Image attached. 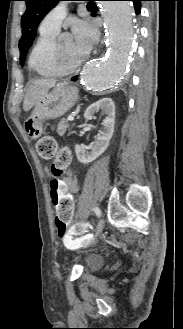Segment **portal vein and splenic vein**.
Returning <instances> with one entry per match:
<instances>
[{
    "label": "portal vein and splenic vein",
    "instance_id": "portal-vein-and-splenic-vein-1",
    "mask_svg": "<svg viewBox=\"0 0 183 329\" xmlns=\"http://www.w3.org/2000/svg\"><path fill=\"white\" fill-rule=\"evenodd\" d=\"M69 121H73L74 120V117L72 115H69L68 118H67Z\"/></svg>",
    "mask_w": 183,
    "mask_h": 329
}]
</instances>
